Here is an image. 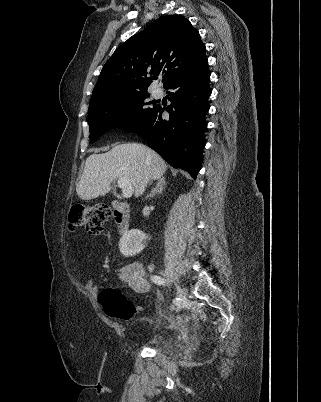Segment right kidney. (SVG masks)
I'll list each match as a JSON object with an SVG mask.
<instances>
[{
  "mask_svg": "<svg viewBox=\"0 0 321 402\" xmlns=\"http://www.w3.org/2000/svg\"><path fill=\"white\" fill-rule=\"evenodd\" d=\"M144 242L145 235L137 229H132L121 237L119 250L125 257L134 256L144 249Z\"/></svg>",
  "mask_w": 321,
  "mask_h": 402,
  "instance_id": "obj_1",
  "label": "right kidney"
}]
</instances>
